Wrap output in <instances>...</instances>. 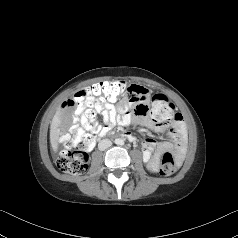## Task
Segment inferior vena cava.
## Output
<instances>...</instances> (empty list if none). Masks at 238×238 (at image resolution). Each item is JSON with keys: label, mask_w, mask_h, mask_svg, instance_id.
<instances>
[{"label": "inferior vena cava", "mask_w": 238, "mask_h": 238, "mask_svg": "<svg viewBox=\"0 0 238 238\" xmlns=\"http://www.w3.org/2000/svg\"><path fill=\"white\" fill-rule=\"evenodd\" d=\"M112 145V142L108 139H103L98 143V148L101 151L108 149Z\"/></svg>", "instance_id": "1"}]
</instances>
